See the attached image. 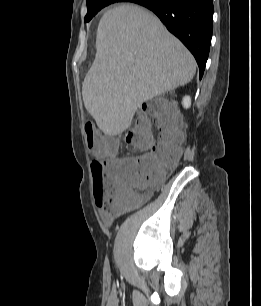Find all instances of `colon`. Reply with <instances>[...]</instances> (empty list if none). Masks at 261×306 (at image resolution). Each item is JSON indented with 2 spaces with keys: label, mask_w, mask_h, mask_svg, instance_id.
Segmentation results:
<instances>
[{
  "label": "colon",
  "mask_w": 261,
  "mask_h": 306,
  "mask_svg": "<svg viewBox=\"0 0 261 306\" xmlns=\"http://www.w3.org/2000/svg\"><path fill=\"white\" fill-rule=\"evenodd\" d=\"M152 124L159 129L158 139L152 135ZM88 146L98 155L112 154L115 141L97 137L92 125L85 126ZM181 120L178 114L160 99L151 100L126 135L127 144L139 157L112 159L108 166L93 160L91 170L98 198V207L110 212L130 201L135 187L158 185L167 169L181 154Z\"/></svg>",
  "instance_id": "colon-1"
}]
</instances>
